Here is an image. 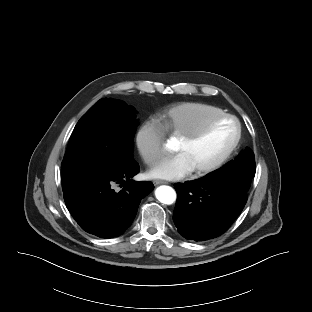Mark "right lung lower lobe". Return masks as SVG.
Returning <instances> with one entry per match:
<instances>
[{
  "instance_id": "98d812e1",
  "label": "right lung lower lobe",
  "mask_w": 312,
  "mask_h": 312,
  "mask_svg": "<svg viewBox=\"0 0 312 312\" xmlns=\"http://www.w3.org/2000/svg\"><path fill=\"white\" fill-rule=\"evenodd\" d=\"M139 172L135 160L127 166L64 192L67 209L86 232L102 238L121 235L134 220L140 200L154 186L131 178ZM124 188L117 192L114 185Z\"/></svg>"
}]
</instances>
